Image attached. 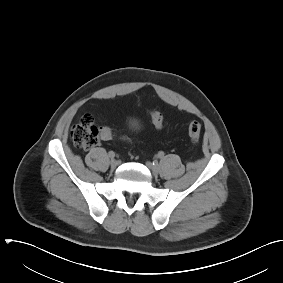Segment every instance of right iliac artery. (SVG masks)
Returning a JSON list of instances; mask_svg holds the SVG:
<instances>
[{
    "instance_id": "1",
    "label": "right iliac artery",
    "mask_w": 283,
    "mask_h": 283,
    "mask_svg": "<svg viewBox=\"0 0 283 283\" xmlns=\"http://www.w3.org/2000/svg\"><path fill=\"white\" fill-rule=\"evenodd\" d=\"M109 157H110L111 159H113V158L115 157V153H114L113 151H110V152H109Z\"/></svg>"
}]
</instances>
